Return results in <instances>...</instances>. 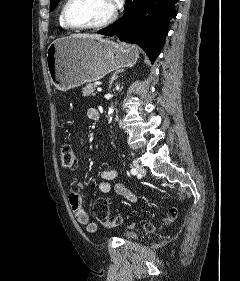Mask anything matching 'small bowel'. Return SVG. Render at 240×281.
I'll use <instances>...</instances> for the list:
<instances>
[{
	"label": "small bowel",
	"mask_w": 240,
	"mask_h": 281,
	"mask_svg": "<svg viewBox=\"0 0 240 281\" xmlns=\"http://www.w3.org/2000/svg\"><path fill=\"white\" fill-rule=\"evenodd\" d=\"M99 112L91 108L87 112V116L91 120H97ZM117 173L113 168H105L100 173V181L97 184V190L101 194H108L112 187L111 182L115 180ZM76 190L69 194V204L77 222L86 226V230L89 233H95L98 230V225L95 222L90 221L89 214L83 206V184L80 181L75 182ZM114 191L117 195H120L127 199L131 203L137 201V196L125 187L122 183H117L114 186Z\"/></svg>",
	"instance_id": "c3829d8e"
}]
</instances>
